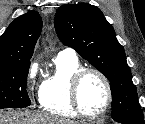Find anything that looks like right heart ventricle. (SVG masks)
I'll return each instance as SVG.
<instances>
[{
	"instance_id": "e07e8e85",
	"label": "right heart ventricle",
	"mask_w": 145,
	"mask_h": 124,
	"mask_svg": "<svg viewBox=\"0 0 145 124\" xmlns=\"http://www.w3.org/2000/svg\"><path fill=\"white\" fill-rule=\"evenodd\" d=\"M55 71L47 76L39 89V105L47 113L61 118H75L70 97L72 75L82 68L77 57L57 55L54 59Z\"/></svg>"
}]
</instances>
